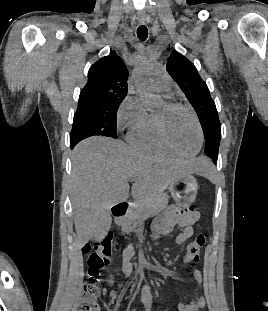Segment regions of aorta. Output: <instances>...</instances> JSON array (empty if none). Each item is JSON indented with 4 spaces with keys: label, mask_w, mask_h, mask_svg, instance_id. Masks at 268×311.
<instances>
[{
    "label": "aorta",
    "mask_w": 268,
    "mask_h": 311,
    "mask_svg": "<svg viewBox=\"0 0 268 311\" xmlns=\"http://www.w3.org/2000/svg\"><path fill=\"white\" fill-rule=\"evenodd\" d=\"M156 70V65L150 60H144L137 64L136 73V91L146 98V105L156 104L159 97L152 93V89L149 85L147 77L154 73Z\"/></svg>",
    "instance_id": "aorta-1"
}]
</instances>
